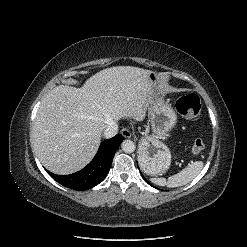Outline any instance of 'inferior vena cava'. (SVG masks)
I'll use <instances>...</instances> for the list:
<instances>
[{
  "mask_svg": "<svg viewBox=\"0 0 247 247\" xmlns=\"http://www.w3.org/2000/svg\"><path fill=\"white\" fill-rule=\"evenodd\" d=\"M118 133V125L115 122H111L104 130L103 136L105 138H112Z\"/></svg>",
  "mask_w": 247,
  "mask_h": 247,
  "instance_id": "1",
  "label": "inferior vena cava"
}]
</instances>
